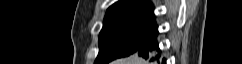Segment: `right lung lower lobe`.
Instances as JSON below:
<instances>
[{
	"mask_svg": "<svg viewBox=\"0 0 242 64\" xmlns=\"http://www.w3.org/2000/svg\"><path fill=\"white\" fill-rule=\"evenodd\" d=\"M157 34L150 40L147 45L138 50L139 56L145 59L150 58V61H155L160 57V54H157V52H159L158 43L156 41ZM162 63L166 64V60L163 59Z\"/></svg>",
	"mask_w": 242,
	"mask_h": 64,
	"instance_id": "98d812e1",
	"label": "right lung lower lobe"
}]
</instances>
